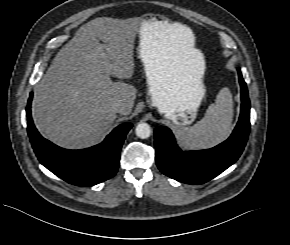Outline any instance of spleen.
<instances>
[{"instance_id":"3e777b00","label":"spleen","mask_w":290,"mask_h":245,"mask_svg":"<svg viewBox=\"0 0 290 245\" xmlns=\"http://www.w3.org/2000/svg\"><path fill=\"white\" fill-rule=\"evenodd\" d=\"M233 119L232 94L227 87L222 88L216 96L215 103L210 104L204 117L191 127L176 128L180 141L191 149L213 147L225 140Z\"/></svg>"}]
</instances>
